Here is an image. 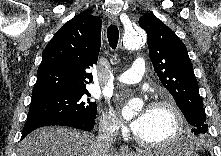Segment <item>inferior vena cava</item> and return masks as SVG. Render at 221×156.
I'll return each instance as SVG.
<instances>
[{"label": "inferior vena cava", "mask_w": 221, "mask_h": 156, "mask_svg": "<svg viewBox=\"0 0 221 156\" xmlns=\"http://www.w3.org/2000/svg\"><path fill=\"white\" fill-rule=\"evenodd\" d=\"M116 138V129L112 123L106 122L97 137V143L102 151L110 149Z\"/></svg>", "instance_id": "602c4592"}]
</instances>
